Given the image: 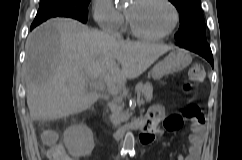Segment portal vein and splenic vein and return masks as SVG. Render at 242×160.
I'll list each match as a JSON object with an SVG mask.
<instances>
[{
    "instance_id": "portal-vein-and-splenic-vein-1",
    "label": "portal vein and splenic vein",
    "mask_w": 242,
    "mask_h": 160,
    "mask_svg": "<svg viewBox=\"0 0 242 160\" xmlns=\"http://www.w3.org/2000/svg\"><path fill=\"white\" fill-rule=\"evenodd\" d=\"M87 82H88L91 86H93L94 88H96V89L103 90L104 87H105V86H104V81H103L102 78H99L98 80L95 79V78H89V79H87ZM110 92H111L112 94H114V95L117 94V91H115V90H111ZM138 104H139V105L144 104L143 99L138 100Z\"/></svg>"
}]
</instances>
